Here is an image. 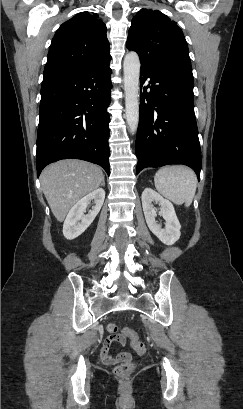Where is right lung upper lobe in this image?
Here are the masks:
<instances>
[{
  "mask_svg": "<svg viewBox=\"0 0 243 409\" xmlns=\"http://www.w3.org/2000/svg\"><path fill=\"white\" fill-rule=\"evenodd\" d=\"M106 31L98 15L89 12L64 22L50 45L43 80L80 72L111 57Z\"/></svg>",
  "mask_w": 243,
  "mask_h": 409,
  "instance_id": "obj_1",
  "label": "right lung upper lobe"
}]
</instances>
